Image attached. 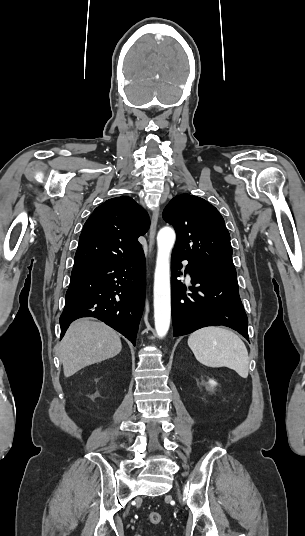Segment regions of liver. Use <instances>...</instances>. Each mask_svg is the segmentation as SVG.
Returning <instances> with one entry per match:
<instances>
[{
    "mask_svg": "<svg viewBox=\"0 0 305 536\" xmlns=\"http://www.w3.org/2000/svg\"><path fill=\"white\" fill-rule=\"evenodd\" d=\"M121 350V340L115 330L103 322L81 318L70 324L60 342L59 360L65 378H70L86 366L114 358Z\"/></svg>",
    "mask_w": 305,
    "mask_h": 536,
    "instance_id": "1",
    "label": "liver"
}]
</instances>
